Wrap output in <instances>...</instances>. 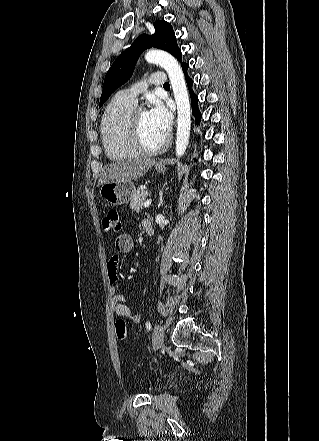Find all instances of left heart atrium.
I'll use <instances>...</instances> for the list:
<instances>
[{"label":"left heart atrium","instance_id":"obj_1","mask_svg":"<svg viewBox=\"0 0 319 441\" xmlns=\"http://www.w3.org/2000/svg\"><path fill=\"white\" fill-rule=\"evenodd\" d=\"M150 120L155 128L163 135L167 136L171 129L172 118L169 110L161 102L154 101L148 111Z\"/></svg>","mask_w":319,"mask_h":441}]
</instances>
